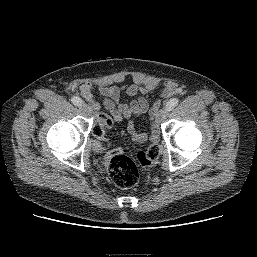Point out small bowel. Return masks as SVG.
Wrapping results in <instances>:
<instances>
[{"label": "small bowel", "mask_w": 257, "mask_h": 257, "mask_svg": "<svg viewBox=\"0 0 257 257\" xmlns=\"http://www.w3.org/2000/svg\"><path fill=\"white\" fill-rule=\"evenodd\" d=\"M157 83L151 82L144 86L137 84H126L121 86H95L92 83H84L80 87L81 96L88 102L92 111H98L101 107L100 103L95 98L97 91L103 98L102 104L109 112V115H99L98 122L104 118L110 117L117 122H126L127 130L132 139L136 142L151 141L155 142L158 139L159 128L155 121L159 110V103H155L152 107L149 106L147 100L140 96L154 90ZM177 91L176 86L172 82L165 84L163 91L164 96L169 97ZM136 97L129 103H124L121 98L124 96ZM148 114L151 118V129L149 133L138 131L134 122L135 115Z\"/></svg>", "instance_id": "obj_1"}]
</instances>
